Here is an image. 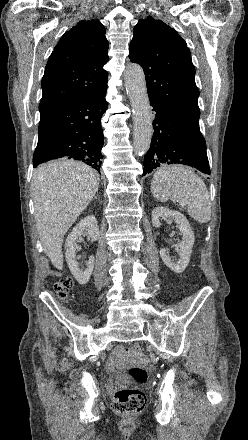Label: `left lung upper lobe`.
Here are the masks:
<instances>
[{
    "label": "left lung upper lobe",
    "instance_id": "obj_1",
    "mask_svg": "<svg viewBox=\"0 0 248 440\" xmlns=\"http://www.w3.org/2000/svg\"><path fill=\"white\" fill-rule=\"evenodd\" d=\"M129 58L143 67L150 100L199 127V90L190 50L178 33L148 16L134 27Z\"/></svg>",
    "mask_w": 248,
    "mask_h": 440
}]
</instances>
